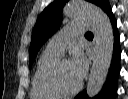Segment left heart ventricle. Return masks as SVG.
Listing matches in <instances>:
<instances>
[{
	"label": "left heart ventricle",
	"mask_w": 128,
	"mask_h": 99,
	"mask_svg": "<svg viewBox=\"0 0 128 99\" xmlns=\"http://www.w3.org/2000/svg\"><path fill=\"white\" fill-rule=\"evenodd\" d=\"M59 82L65 89H72L77 86L80 80L77 78L72 70L69 60H65L59 71Z\"/></svg>",
	"instance_id": "b2bd125f"
}]
</instances>
